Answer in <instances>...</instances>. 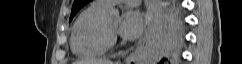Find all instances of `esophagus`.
<instances>
[{"label": "esophagus", "mask_w": 242, "mask_h": 64, "mask_svg": "<svg viewBox=\"0 0 242 64\" xmlns=\"http://www.w3.org/2000/svg\"><path fill=\"white\" fill-rule=\"evenodd\" d=\"M146 36H147V32H145V34L143 35V37H142V38L140 39V41L138 42V46L141 44L142 41L145 40Z\"/></svg>", "instance_id": "obj_1"}]
</instances>
